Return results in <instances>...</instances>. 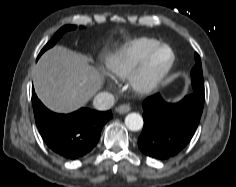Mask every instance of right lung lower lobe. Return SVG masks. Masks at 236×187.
I'll use <instances>...</instances> for the list:
<instances>
[{"label":"right lung lower lobe","mask_w":236,"mask_h":187,"mask_svg":"<svg viewBox=\"0 0 236 187\" xmlns=\"http://www.w3.org/2000/svg\"><path fill=\"white\" fill-rule=\"evenodd\" d=\"M32 105L36 125L48 147L60 157L76 160L92 151L111 111L99 112L81 108L71 114L48 110L32 89Z\"/></svg>","instance_id":"98d812e1"}]
</instances>
